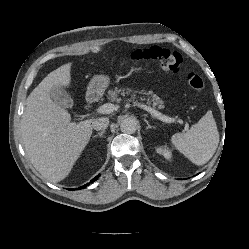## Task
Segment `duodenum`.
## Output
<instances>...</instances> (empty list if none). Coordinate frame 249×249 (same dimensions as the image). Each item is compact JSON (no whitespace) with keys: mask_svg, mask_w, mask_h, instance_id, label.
Here are the masks:
<instances>
[{"mask_svg":"<svg viewBox=\"0 0 249 249\" xmlns=\"http://www.w3.org/2000/svg\"><path fill=\"white\" fill-rule=\"evenodd\" d=\"M96 98H97V93L95 91H90L86 97L88 103L94 102Z\"/></svg>","mask_w":249,"mask_h":249,"instance_id":"410a0bca","label":"duodenum"}]
</instances>
